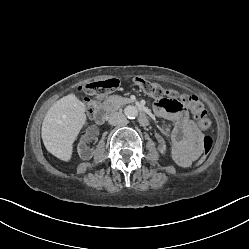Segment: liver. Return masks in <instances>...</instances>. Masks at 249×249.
Segmentation results:
<instances>
[{
  "label": "liver",
  "instance_id": "liver-1",
  "mask_svg": "<svg viewBox=\"0 0 249 249\" xmlns=\"http://www.w3.org/2000/svg\"><path fill=\"white\" fill-rule=\"evenodd\" d=\"M85 123V105L74 94L56 101L42 123V140L47 151L60 160L70 161L73 143Z\"/></svg>",
  "mask_w": 249,
  "mask_h": 249
}]
</instances>
